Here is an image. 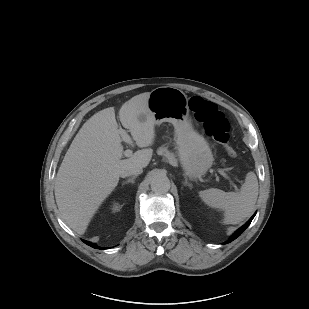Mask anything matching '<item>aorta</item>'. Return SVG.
<instances>
[{
	"instance_id": "1",
	"label": "aorta",
	"mask_w": 309,
	"mask_h": 309,
	"mask_svg": "<svg viewBox=\"0 0 309 309\" xmlns=\"http://www.w3.org/2000/svg\"><path fill=\"white\" fill-rule=\"evenodd\" d=\"M151 190L158 194H164L170 189V181L164 175H155L151 180Z\"/></svg>"
}]
</instances>
